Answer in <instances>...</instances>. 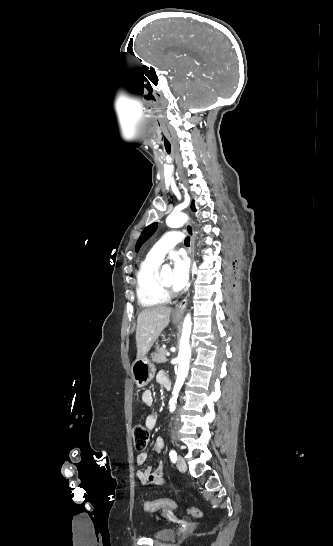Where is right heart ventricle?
<instances>
[{"mask_svg": "<svg viewBox=\"0 0 333 546\" xmlns=\"http://www.w3.org/2000/svg\"><path fill=\"white\" fill-rule=\"evenodd\" d=\"M160 262L148 257L141 263L136 282V295L143 307H155L165 304L168 298L164 296L157 283Z\"/></svg>", "mask_w": 333, "mask_h": 546, "instance_id": "obj_1", "label": "right heart ventricle"}]
</instances>
